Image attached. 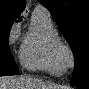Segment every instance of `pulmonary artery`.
Here are the masks:
<instances>
[{
  "instance_id": "pulmonary-artery-1",
  "label": "pulmonary artery",
  "mask_w": 89,
  "mask_h": 89,
  "mask_svg": "<svg viewBox=\"0 0 89 89\" xmlns=\"http://www.w3.org/2000/svg\"><path fill=\"white\" fill-rule=\"evenodd\" d=\"M35 12H41V13L49 14V11L45 7H43L41 5H38L35 8Z\"/></svg>"
}]
</instances>
